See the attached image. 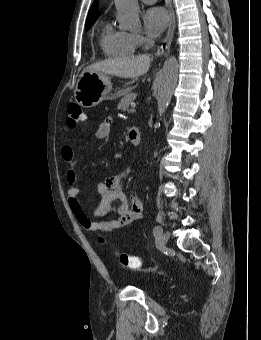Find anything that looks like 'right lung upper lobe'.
Here are the masks:
<instances>
[{"mask_svg": "<svg viewBox=\"0 0 261 340\" xmlns=\"http://www.w3.org/2000/svg\"><path fill=\"white\" fill-rule=\"evenodd\" d=\"M97 16H98V8H97V2L95 1L93 3L92 7L90 8V11H89L88 16H87L86 23L95 21Z\"/></svg>", "mask_w": 261, "mask_h": 340, "instance_id": "cb5924a9", "label": "right lung upper lobe"}]
</instances>
